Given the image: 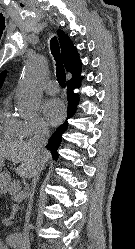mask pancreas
Segmentation results:
<instances>
[{
  "label": "pancreas",
  "instance_id": "pancreas-1",
  "mask_svg": "<svg viewBox=\"0 0 135 249\" xmlns=\"http://www.w3.org/2000/svg\"><path fill=\"white\" fill-rule=\"evenodd\" d=\"M8 192L12 196L13 200L15 201V198L18 196V194L21 193V185L18 180H14L10 183L8 187ZM28 195V193H25L24 198Z\"/></svg>",
  "mask_w": 135,
  "mask_h": 249
}]
</instances>
